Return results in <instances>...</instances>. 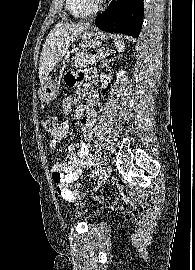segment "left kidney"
Returning <instances> with one entry per match:
<instances>
[{"label": "left kidney", "instance_id": "1", "mask_svg": "<svg viewBox=\"0 0 195 270\" xmlns=\"http://www.w3.org/2000/svg\"><path fill=\"white\" fill-rule=\"evenodd\" d=\"M124 75H125V71L121 70V71H119V72L116 74V77H117V79H118V78H120V77H124Z\"/></svg>", "mask_w": 195, "mask_h": 270}]
</instances>
